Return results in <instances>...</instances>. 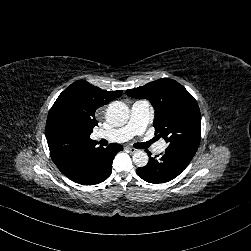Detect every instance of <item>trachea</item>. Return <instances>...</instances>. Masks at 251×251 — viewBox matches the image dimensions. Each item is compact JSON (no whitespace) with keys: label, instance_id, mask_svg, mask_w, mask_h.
<instances>
[{"label":"trachea","instance_id":"3493384b","mask_svg":"<svg viewBox=\"0 0 251 251\" xmlns=\"http://www.w3.org/2000/svg\"><path fill=\"white\" fill-rule=\"evenodd\" d=\"M156 140H158L157 138H154L150 141L144 142V143H139L138 146H136V148L138 149H146L148 148L151 144H153ZM100 143L102 145H107V141L106 140H101Z\"/></svg>","mask_w":251,"mask_h":251}]
</instances>
